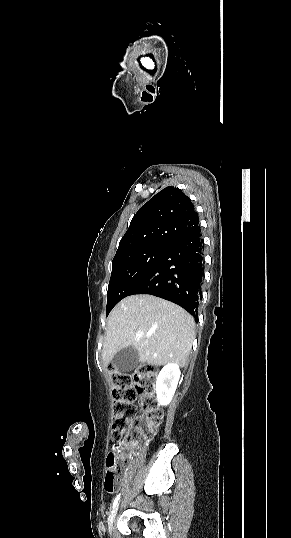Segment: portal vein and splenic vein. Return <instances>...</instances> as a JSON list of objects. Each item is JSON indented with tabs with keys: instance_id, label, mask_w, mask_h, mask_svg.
Instances as JSON below:
<instances>
[{
	"instance_id": "obj_1",
	"label": "portal vein and splenic vein",
	"mask_w": 291,
	"mask_h": 538,
	"mask_svg": "<svg viewBox=\"0 0 291 538\" xmlns=\"http://www.w3.org/2000/svg\"><path fill=\"white\" fill-rule=\"evenodd\" d=\"M137 335H138L139 337H141V336H142V333H141V332H137Z\"/></svg>"
}]
</instances>
